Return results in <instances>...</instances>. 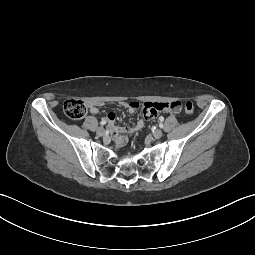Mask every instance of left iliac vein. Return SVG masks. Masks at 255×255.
<instances>
[{"instance_id":"4c4485c4","label":"left iliac vein","mask_w":255,"mask_h":255,"mask_svg":"<svg viewBox=\"0 0 255 255\" xmlns=\"http://www.w3.org/2000/svg\"><path fill=\"white\" fill-rule=\"evenodd\" d=\"M162 135H163V132L160 130V129H156L155 131H154V133H153V136L155 137V138H160V137H162Z\"/></svg>"}]
</instances>
